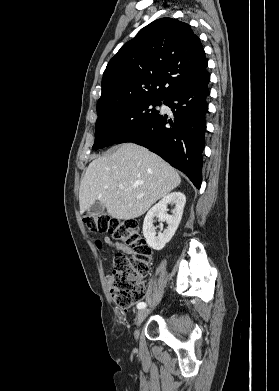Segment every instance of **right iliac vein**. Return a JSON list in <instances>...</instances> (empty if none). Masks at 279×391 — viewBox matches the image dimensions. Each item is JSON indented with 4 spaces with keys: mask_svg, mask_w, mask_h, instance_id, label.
<instances>
[{
    "mask_svg": "<svg viewBox=\"0 0 279 391\" xmlns=\"http://www.w3.org/2000/svg\"><path fill=\"white\" fill-rule=\"evenodd\" d=\"M148 314H149V310H146V309H142V310L138 311L137 317H136V327H138L143 322V320L147 317ZM134 335H135V337H138V335H139V331L137 328L134 331Z\"/></svg>",
    "mask_w": 279,
    "mask_h": 391,
    "instance_id": "63e3f726",
    "label": "right iliac vein"
}]
</instances>
